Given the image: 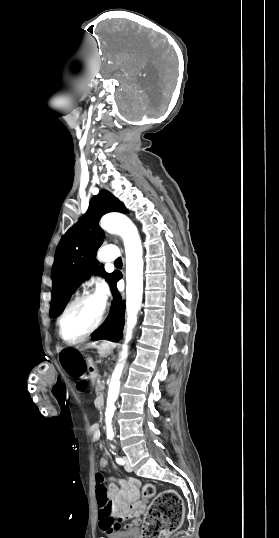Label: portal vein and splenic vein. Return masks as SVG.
Masks as SVG:
<instances>
[{"label": "portal vein and splenic vein", "mask_w": 279, "mask_h": 538, "mask_svg": "<svg viewBox=\"0 0 279 538\" xmlns=\"http://www.w3.org/2000/svg\"><path fill=\"white\" fill-rule=\"evenodd\" d=\"M100 383H104V380H100Z\"/></svg>", "instance_id": "18ae733b"}]
</instances>
